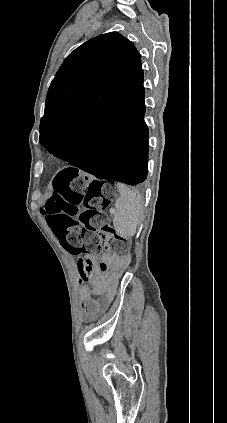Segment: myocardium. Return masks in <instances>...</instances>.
<instances>
[{
  "label": "myocardium",
  "mask_w": 227,
  "mask_h": 423,
  "mask_svg": "<svg viewBox=\"0 0 227 423\" xmlns=\"http://www.w3.org/2000/svg\"><path fill=\"white\" fill-rule=\"evenodd\" d=\"M64 163V158L61 156H51L47 161V169L51 172L59 170Z\"/></svg>",
  "instance_id": "obj_1"
}]
</instances>
